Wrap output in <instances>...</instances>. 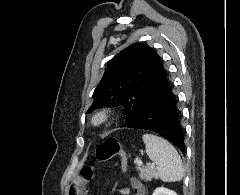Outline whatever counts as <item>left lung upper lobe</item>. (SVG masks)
I'll use <instances>...</instances> for the list:
<instances>
[{"label": "left lung upper lobe", "mask_w": 240, "mask_h": 195, "mask_svg": "<svg viewBox=\"0 0 240 195\" xmlns=\"http://www.w3.org/2000/svg\"><path fill=\"white\" fill-rule=\"evenodd\" d=\"M166 79L159 55L147 44H133L111 59L87 113L102 106L122 105L127 123Z\"/></svg>", "instance_id": "left-lung-upper-lobe-1"}]
</instances>
